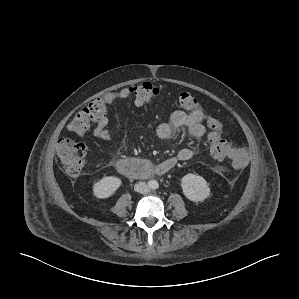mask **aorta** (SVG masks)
Masks as SVG:
<instances>
[{"mask_svg": "<svg viewBox=\"0 0 299 299\" xmlns=\"http://www.w3.org/2000/svg\"><path fill=\"white\" fill-rule=\"evenodd\" d=\"M149 186L151 189H157L159 187V184L156 180H152V181H150Z\"/></svg>", "mask_w": 299, "mask_h": 299, "instance_id": "762f6f07", "label": "aorta"}]
</instances>
